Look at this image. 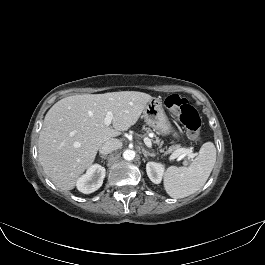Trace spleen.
<instances>
[{
  "label": "spleen",
  "instance_id": "obj_1",
  "mask_svg": "<svg viewBox=\"0 0 265 265\" xmlns=\"http://www.w3.org/2000/svg\"><path fill=\"white\" fill-rule=\"evenodd\" d=\"M216 162V148L212 142L204 143L197 157L188 167H168L164 188L172 198L187 197L204 186Z\"/></svg>",
  "mask_w": 265,
  "mask_h": 265
}]
</instances>
